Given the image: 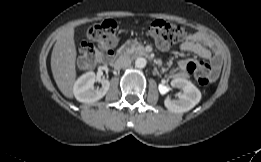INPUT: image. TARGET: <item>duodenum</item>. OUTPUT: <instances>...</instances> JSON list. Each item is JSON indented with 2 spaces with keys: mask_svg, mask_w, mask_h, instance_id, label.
<instances>
[{
  "mask_svg": "<svg viewBox=\"0 0 261 162\" xmlns=\"http://www.w3.org/2000/svg\"><path fill=\"white\" fill-rule=\"evenodd\" d=\"M131 54H133L135 56L144 57V58L149 57V53L145 49L139 48V47L132 48ZM103 62H104V65H107V66H116L120 62L119 55H116L114 52H107L103 58Z\"/></svg>",
  "mask_w": 261,
  "mask_h": 162,
  "instance_id": "410a0bca",
  "label": "duodenum"
}]
</instances>
